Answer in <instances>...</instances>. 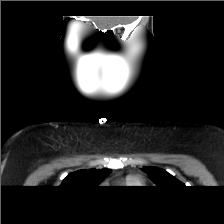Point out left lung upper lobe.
Masks as SVG:
<instances>
[{
  "instance_id": "obj_1",
  "label": "left lung upper lobe",
  "mask_w": 224,
  "mask_h": 224,
  "mask_svg": "<svg viewBox=\"0 0 224 224\" xmlns=\"http://www.w3.org/2000/svg\"><path fill=\"white\" fill-rule=\"evenodd\" d=\"M147 175L158 187H177L183 185L179 180L163 169L156 167H144Z\"/></svg>"
}]
</instances>
